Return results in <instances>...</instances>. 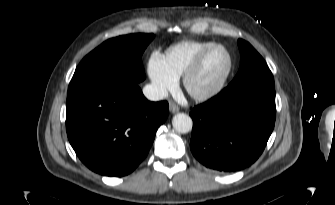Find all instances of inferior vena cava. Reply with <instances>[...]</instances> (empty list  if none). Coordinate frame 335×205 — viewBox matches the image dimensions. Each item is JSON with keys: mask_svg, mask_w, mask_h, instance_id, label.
<instances>
[{"mask_svg": "<svg viewBox=\"0 0 335 205\" xmlns=\"http://www.w3.org/2000/svg\"><path fill=\"white\" fill-rule=\"evenodd\" d=\"M143 94L151 101H159L166 97L167 92L154 85L148 84L143 88Z\"/></svg>", "mask_w": 335, "mask_h": 205, "instance_id": "602c4592", "label": "inferior vena cava"}]
</instances>
